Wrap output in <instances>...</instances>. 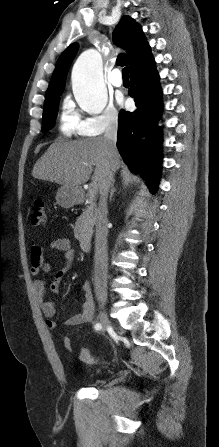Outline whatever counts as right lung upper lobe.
Here are the masks:
<instances>
[{
	"mask_svg": "<svg viewBox=\"0 0 219 447\" xmlns=\"http://www.w3.org/2000/svg\"><path fill=\"white\" fill-rule=\"evenodd\" d=\"M113 39L118 46L130 51L127 55L117 57V64H129L130 73L152 59L150 47L141 27L129 16L121 18L114 31ZM77 49V44H71L57 60L45 99L63 92L66 75Z\"/></svg>",
	"mask_w": 219,
	"mask_h": 447,
	"instance_id": "right-lung-upper-lobe-1",
	"label": "right lung upper lobe"
}]
</instances>
